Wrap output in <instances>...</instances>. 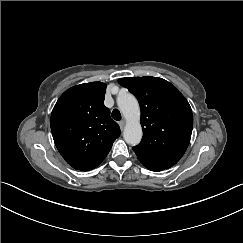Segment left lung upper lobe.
I'll use <instances>...</instances> for the list:
<instances>
[{
  "label": "left lung upper lobe",
  "mask_w": 243,
  "mask_h": 243,
  "mask_svg": "<svg viewBox=\"0 0 243 243\" xmlns=\"http://www.w3.org/2000/svg\"><path fill=\"white\" fill-rule=\"evenodd\" d=\"M118 82L140 104L143 137L133 147L138 159L159 171L172 167L181 159L191 139L193 114L188 101L162 78H120Z\"/></svg>",
  "instance_id": "left-lung-upper-lobe-1"
}]
</instances>
